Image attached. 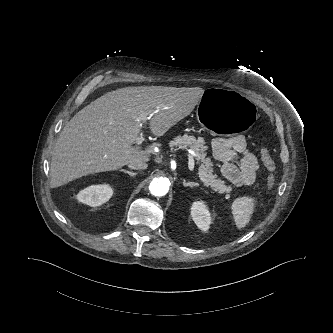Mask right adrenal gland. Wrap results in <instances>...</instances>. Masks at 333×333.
<instances>
[{"label": "right adrenal gland", "instance_id": "right-adrenal-gland-1", "mask_svg": "<svg viewBox=\"0 0 333 333\" xmlns=\"http://www.w3.org/2000/svg\"><path fill=\"white\" fill-rule=\"evenodd\" d=\"M119 171L124 172V173L130 175L131 177H135L137 175L136 172H131V171H128V170H125V169H120Z\"/></svg>", "mask_w": 333, "mask_h": 333}]
</instances>
